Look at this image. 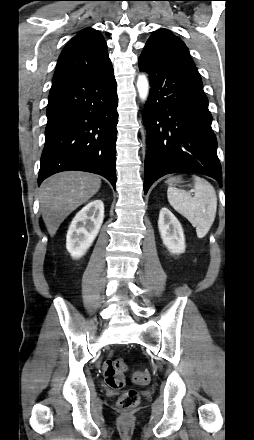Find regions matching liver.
I'll return each mask as SVG.
<instances>
[{
  "label": "liver",
  "instance_id": "obj_1",
  "mask_svg": "<svg viewBox=\"0 0 254 440\" xmlns=\"http://www.w3.org/2000/svg\"><path fill=\"white\" fill-rule=\"evenodd\" d=\"M101 179L92 173L65 171L46 179L39 189L42 217L50 236H54L64 219L93 197Z\"/></svg>",
  "mask_w": 254,
  "mask_h": 440
}]
</instances>
